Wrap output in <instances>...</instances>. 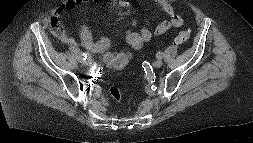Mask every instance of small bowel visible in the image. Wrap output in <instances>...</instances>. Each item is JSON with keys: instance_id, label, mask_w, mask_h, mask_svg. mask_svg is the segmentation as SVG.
Segmentation results:
<instances>
[{"instance_id": "1", "label": "small bowel", "mask_w": 253, "mask_h": 143, "mask_svg": "<svg viewBox=\"0 0 253 143\" xmlns=\"http://www.w3.org/2000/svg\"><path fill=\"white\" fill-rule=\"evenodd\" d=\"M102 1L103 0H67L57 9L55 16L60 17L64 12L71 10L79 5L98 4ZM139 1L140 0H110L109 6L115 7L119 5L126 7L133 5ZM154 1L158 6L161 7L168 18L160 22L153 31L149 30L146 27H141L139 31L128 30L126 32L125 38L127 44L130 47V50H123L115 54H109L108 57L124 59L128 62L132 56V50H138L144 43L150 41L153 37L163 35L167 31L183 25V18L175 12L174 7L169 0ZM132 26H137V21H132ZM79 35L83 46L92 53L103 52L109 47V40L107 38L95 39L92 31L86 25L80 27ZM61 40L69 45L76 44V40L73 37L67 35H61ZM112 65L120 67L115 64Z\"/></svg>"}]
</instances>
